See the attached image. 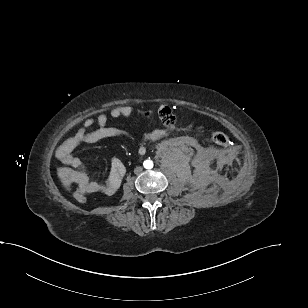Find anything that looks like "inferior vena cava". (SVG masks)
Returning <instances> with one entry per match:
<instances>
[{
  "mask_svg": "<svg viewBox=\"0 0 308 308\" xmlns=\"http://www.w3.org/2000/svg\"><path fill=\"white\" fill-rule=\"evenodd\" d=\"M142 171V167H136L135 169H134V173L135 174H138V173H140Z\"/></svg>",
  "mask_w": 308,
  "mask_h": 308,
  "instance_id": "602c4592",
  "label": "inferior vena cava"
}]
</instances>
